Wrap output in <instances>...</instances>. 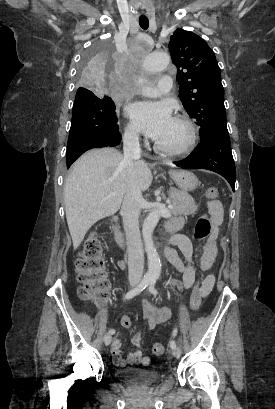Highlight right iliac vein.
Here are the masks:
<instances>
[{
    "instance_id": "1",
    "label": "right iliac vein",
    "mask_w": 275,
    "mask_h": 409,
    "mask_svg": "<svg viewBox=\"0 0 275 409\" xmlns=\"http://www.w3.org/2000/svg\"><path fill=\"white\" fill-rule=\"evenodd\" d=\"M136 282H131V286H135ZM103 341L106 345H109L112 341V335L111 333H106L103 337Z\"/></svg>"
}]
</instances>
